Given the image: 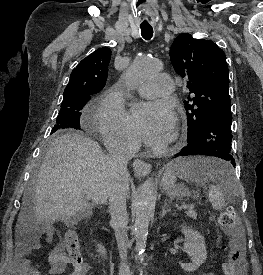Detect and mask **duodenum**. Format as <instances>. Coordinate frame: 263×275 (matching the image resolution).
<instances>
[{"instance_id": "obj_1", "label": "duodenum", "mask_w": 263, "mask_h": 275, "mask_svg": "<svg viewBox=\"0 0 263 275\" xmlns=\"http://www.w3.org/2000/svg\"><path fill=\"white\" fill-rule=\"evenodd\" d=\"M96 249L102 256L106 257L108 255V249L105 243L98 237L96 238Z\"/></svg>"}]
</instances>
